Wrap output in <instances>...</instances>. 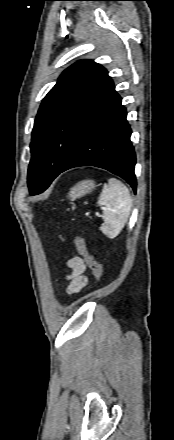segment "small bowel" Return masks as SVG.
<instances>
[{
    "mask_svg": "<svg viewBox=\"0 0 174 440\" xmlns=\"http://www.w3.org/2000/svg\"><path fill=\"white\" fill-rule=\"evenodd\" d=\"M67 266L70 268L71 273L67 276L68 285L66 292L69 295H73L87 285L88 278L84 274L85 263L81 257L75 256L67 261Z\"/></svg>",
    "mask_w": 174,
    "mask_h": 440,
    "instance_id": "c3829d8e",
    "label": "small bowel"
}]
</instances>
